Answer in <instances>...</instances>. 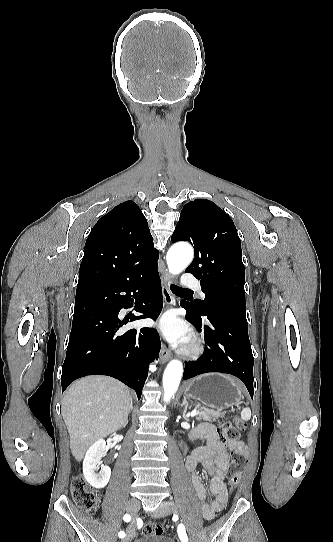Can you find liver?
I'll list each match as a JSON object with an SVG mask.
<instances>
[{
    "mask_svg": "<svg viewBox=\"0 0 333 542\" xmlns=\"http://www.w3.org/2000/svg\"><path fill=\"white\" fill-rule=\"evenodd\" d=\"M131 400L130 390L108 376H87L71 384L63 396L62 416L77 462L93 442L127 424Z\"/></svg>",
    "mask_w": 333,
    "mask_h": 542,
    "instance_id": "1",
    "label": "liver"
}]
</instances>
